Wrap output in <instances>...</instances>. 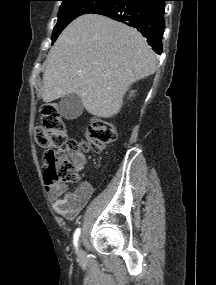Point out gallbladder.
Instances as JSON below:
<instances>
[{
  "label": "gallbladder",
  "mask_w": 216,
  "mask_h": 285,
  "mask_svg": "<svg viewBox=\"0 0 216 285\" xmlns=\"http://www.w3.org/2000/svg\"><path fill=\"white\" fill-rule=\"evenodd\" d=\"M59 110L61 115L67 120L78 118L83 112L81 98L76 94L64 96L59 102Z\"/></svg>",
  "instance_id": "obj_1"
}]
</instances>
